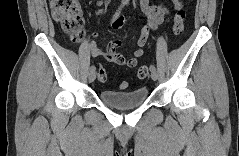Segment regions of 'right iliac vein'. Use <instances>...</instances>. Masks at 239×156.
<instances>
[{
  "label": "right iliac vein",
  "instance_id": "63e3f726",
  "mask_svg": "<svg viewBox=\"0 0 239 156\" xmlns=\"http://www.w3.org/2000/svg\"><path fill=\"white\" fill-rule=\"evenodd\" d=\"M96 78V72L95 70H90L89 75H88V79L89 82H93Z\"/></svg>",
  "mask_w": 239,
  "mask_h": 156
}]
</instances>
